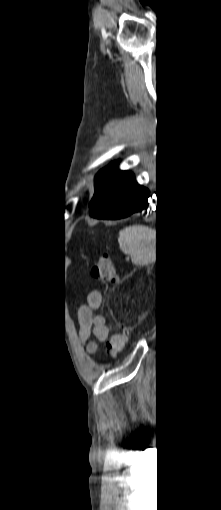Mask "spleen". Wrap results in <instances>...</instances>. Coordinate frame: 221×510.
Listing matches in <instances>:
<instances>
[{
	"label": "spleen",
	"instance_id": "obj_1",
	"mask_svg": "<svg viewBox=\"0 0 221 510\" xmlns=\"http://www.w3.org/2000/svg\"><path fill=\"white\" fill-rule=\"evenodd\" d=\"M118 242L135 264H146L155 256L156 231L144 225H132L119 232Z\"/></svg>",
	"mask_w": 221,
	"mask_h": 510
}]
</instances>
